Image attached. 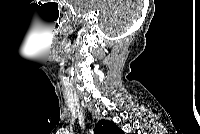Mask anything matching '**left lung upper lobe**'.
Instances as JSON below:
<instances>
[{
	"instance_id": "obj_1",
	"label": "left lung upper lobe",
	"mask_w": 200,
	"mask_h": 134,
	"mask_svg": "<svg viewBox=\"0 0 200 134\" xmlns=\"http://www.w3.org/2000/svg\"><path fill=\"white\" fill-rule=\"evenodd\" d=\"M95 134H124V132L115 123L100 120L95 127Z\"/></svg>"
}]
</instances>
